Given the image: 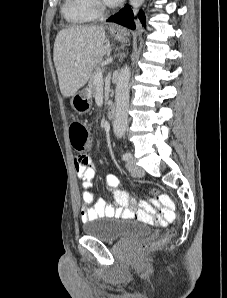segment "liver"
Segmentation results:
<instances>
[{
    "label": "liver",
    "instance_id": "obj_1",
    "mask_svg": "<svg viewBox=\"0 0 227 298\" xmlns=\"http://www.w3.org/2000/svg\"><path fill=\"white\" fill-rule=\"evenodd\" d=\"M109 46L103 27L75 26L58 32L53 58L63 96H73L87 83Z\"/></svg>",
    "mask_w": 227,
    "mask_h": 298
}]
</instances>
